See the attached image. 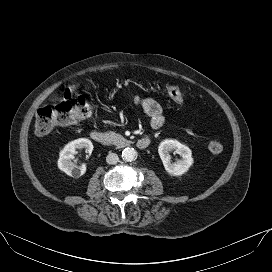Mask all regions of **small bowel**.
Here are the masks:
<instances>
[{
    "label": "small bowel",
    "mask_w": 272,
    "mask_h": 272,
    "mask_svg": "<svg viewBox=\"0 0 272 272\" xmlns=\"http://www.w3.org/2000/svg\"><path fill=\"white\" fill-rule=\"evenodd\" d=\"M133 102L140 104L146 114L150 117V125L154 130L160 129L164 124V116L161 105L151 98H143L136 96Z\"/></svg>",
    "instance_id": "c3829d8e"
}]
</instances>
